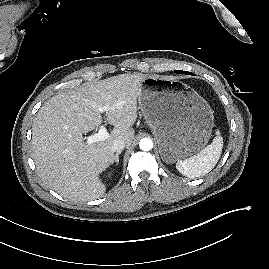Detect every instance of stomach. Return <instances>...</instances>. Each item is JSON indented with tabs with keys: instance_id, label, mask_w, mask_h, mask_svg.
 <instances>
[{
	"instance_id": "obj_1",
	"label": "stomach",
	"mask_w": 269,
	"mask_h": 269,
	"mask_svg": "<svg viewBox=\"0 0 269 269\" xmlns=\"http://www.w3.org/2000/svg\"><path fill=\"white\" fill-rule=\"evenodd\" d=\"M138 103L166 163L180 161L207 143L213 112L193 89L177 80L147 76L141 82Z\"/></svg>"
}]
</instances>
